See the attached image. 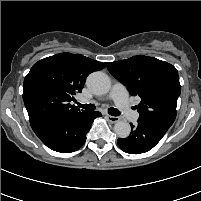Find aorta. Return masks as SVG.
Instances as JSON below:
<instances>
[{
  "mask_svg": "<svg viewBox=\"0 0 201 201\" xmlns=\"http://www.w3.org/2000/svg\"><path fill=\"white\" fill-rule=\"evenodd\" d=\"M88 88L96 95H104L111 88V81L107 74L97 71L91 73L87 78ZM114 131L120 138H127L131 132L130 124L125 121H118L114 125Z\"/></svg>",
  "mask_w": 201,
  "mask_h": 201,
  "instance_id": "aorta-1",
  "label": "aorta"
}]
</instances>
